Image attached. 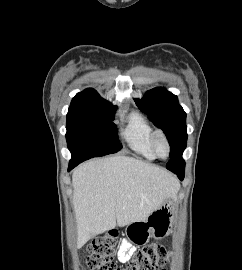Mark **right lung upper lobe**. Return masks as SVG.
<instances>
[{"label":"right lung upper lobe","instance_id":"obj_1","mask_svg":"<svg viewBox=\"0 0 242 270\" xmlns=\"http://www.w3.org/2000/svg\"><path fill=\"white\" fill-rule=\"evenodd\" d=\"M115 108L105 99L101 98L96 90L92 88L85 89L78 93L69 107L70 113H89Z\"/></svg>","mask_w":242,"mask_h":270}]
</instances>
